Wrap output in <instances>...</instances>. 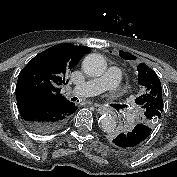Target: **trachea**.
<instances>
[{
    "label": "trachea",
    "instance_id": "trachea-1",
    "mask_svg": "<svg viewBox=\"0 0 177 177\" xmlns=\"http://www.w3.org/2000/svg\"><path fill=\"white\" fill-rule=\"evenodd\" d=\"M76 100H77V98H76V97L72 98V101H76Z\"/></svg>",
    "mask_w": 177,
    "mask_h": 177
}]
</instances>
